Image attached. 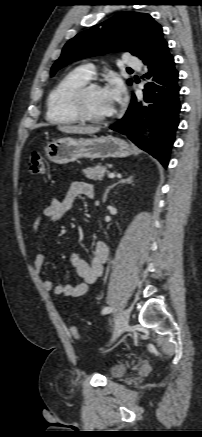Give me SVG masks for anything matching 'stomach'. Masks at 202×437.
Listing matches in <instances>:
<instances>
[{
    "mask_svg": "<svg viewBox=\"0 0 202 437\" xmlns=\"http://www.w3.org/2000/svg\"><path fill=\"white\" fill-rule=\"evenodd\" d=\"M129 144L113 136L92 138H61L45 147L46 157L58 164L74 162L80 158H124L131 154Z\"/></svg>",
    "mask_w": 202,
    "mask_h": 437,
    "instance_id": "stomach-1",
    "label": "stomach"
}]
</instances>
